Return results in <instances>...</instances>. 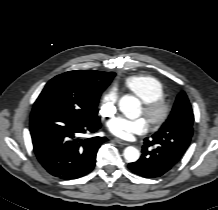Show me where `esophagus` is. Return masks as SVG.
I'll use <instances>...</instances> for the list:
<instances>
[{
  "instance_id": "34e87169",
  "label": "esophagus",
  "mask_w": 218,
  "mask_h": 210,
  "mask_svg": "<svg viewBox=\"0 0 218 210\" xmlns=\"http://www.w3.org/2000/svg\"><path fill=\"white\" fill-rule=\"evenodd\" d=\"M114 140H115L116 143H118V144H120V145H124V146L129 145L128 142H126V141H124V140H121V139H119V138H115Z\"/></svg>"
}]
</instances>
